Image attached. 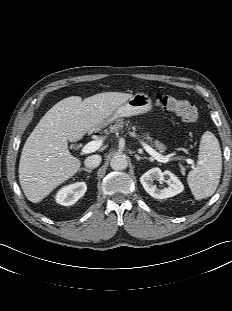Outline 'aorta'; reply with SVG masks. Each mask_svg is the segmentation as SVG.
<instances>
[{
	"label": "aorta",
	"instance_id": "obj_1",
	"mask_svg": "<svg viewBox=\"0 0 232 311\" xmlns=\"http://www.w3.org/2000/svg\"><path fill=\"white\" fill-rule=\"evenodd\" d=\"M110 166L113 170H124L128 166V161L124 155H115L110 161Z\"/></svg>",
	"mask_w": 232,
	"mask_h": 311
}]
</instances>
